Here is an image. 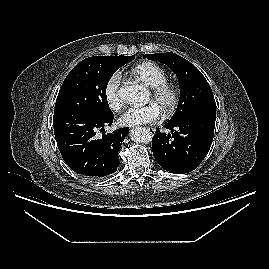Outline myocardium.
<instances>
[{"instance_id": "myocardium-1", "label": "myocardium", "mask_w": 269, "mask_h": 269, "mask_svg": "<svg viewBox=\"0 0 269 269\" xmlns=\"http://www.w3.org/2000/svg\"><path fill=\"white\" fill-rule=\"evenodd\" d=\"M152 97L154 100H162L166 97L168 98L164 108L162 109V113L164 116L169 117L177 109L180 103L181 94L177 85L166 81L152 88Z\"/></svg>"}]
</instances>
